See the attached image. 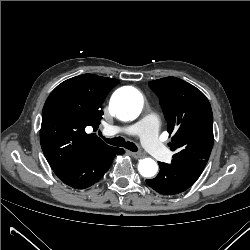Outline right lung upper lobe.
<instances>
[{"mask_svg":"<svg viewBox=\"0 0 250 250\" xmlns=\"http://www.w3.org/2000/svg\"><path fill=\"white\" fill-rule=\"evenodd\" d=\"M116 79L83 74L59 84L47 98L40 130L43 153L53 170L75 166L109 148L85 128H98L102 104Z\"/></svg>","mask_w":250,"mask_h":250,"instance_id":"1","label":"right lung upper lobe"}]
</instances>
